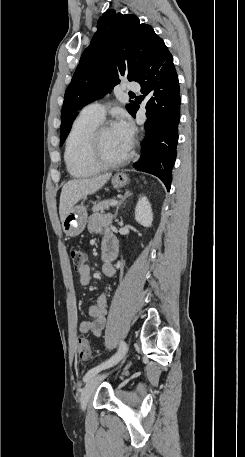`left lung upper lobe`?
I'll use <instances>...</instances> for the list:
<instances>
[{
	"instance_id": "5c2ea615",
	"label": "left lung upper lobe",
	"mask_w": 245,
	"mask_h": 457,
	"mask_svg": "<svg viewBox=\"0 0 245 457\" xmlns=\"http://www.w3.org/2000/svg\"><path fill=\"white\" fill-rule=\"evenodd\" d=\"M162 42L153 28L140 23L135 15L110 10L99 18L97 31L83 52L65 92L60 145L64 143L78 111L110 92L121 76L136 81L149 56ZM133 104L131 101L126 106L129 113Z\"/></svg>"
}]
</instances>
